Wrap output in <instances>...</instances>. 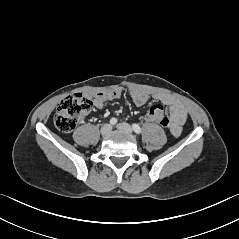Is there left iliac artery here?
<instances>
[{
  "label": "left iliac artery",
  "mask_w": 239,
  "mask_h": 239,
  "mask_svg": "<svg viewBox=\"0 0 239 239\" xmlns=\"http://www.w3.org/2000/svg\"><path fill=\"white\" fill-rule=\"evenodd\" d=\"M132 128H133L135 133H137V134L141 133V128H140V126L138 124H133Z\"/></svg>",
  "instance_id": "obj_1"
}]
</instances>
